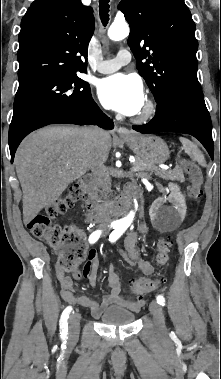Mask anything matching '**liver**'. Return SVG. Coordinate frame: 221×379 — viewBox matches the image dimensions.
<instances>
[{
	"mask_svg": "<svg viewBox=\"0 0 221 379\" xmlns=\"http://www.w3.org/2000/svg\"><path fill=\"white\" fill-rule=\"evenodd\" d=\"M86 129L49 126L21 142L14 163L23 191L24 224L49 207L94 164L107 160L110 134L103 131L97 140H92L86 135Z\"/></svg>",
	"mask_w": 221,
	"mask_h": 379,
	"instance_id": "liver-1",
	"label": "liver"
}]
</instances>
